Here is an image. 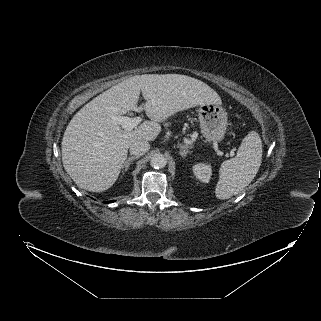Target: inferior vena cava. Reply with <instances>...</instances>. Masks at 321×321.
<instances>
[{
  "mask_svg": "<svg viewBox=\"0 0 321 321\" xmlns=\"http://www.w3.org/2000/svg\"><path fill=\"white\" fill-rule=\"evenodd\" d=\"M150 149L148 141L138 140L130 145V153L135 156H142Z\"/></svg>",
  "mask_w": 321,
  "mask_h": 321,
  "instance_id": "obj_1",
  "label": "inferior vena cava"
}]
</instances>
